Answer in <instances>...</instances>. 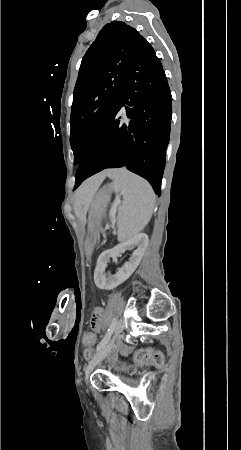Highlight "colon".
Here are the masks:
<instances>
[{"label": "colon", "mask_w": 241, "mask_h": 450, "mask_svg": "<svg viewBox=\"0 0 241 450\" xmlns=\"http://www.w3.org/2000/svg\"><path fill=\"white\" fill-rule=\"evenodd\" d=\"M95 339V332L91 328H86L84 330V338L83 343L85 345H89L83 349V356L86 359V362H91L92 348L90 344L92 340ZM167 355L165 350H162L159 354L157 351H151L149 347H145L143 351H138L134 357L135 362L143 364V363H155L158 368L163 366V357Z\"/></svg>", "instance_id": "1"}]
</instances>
